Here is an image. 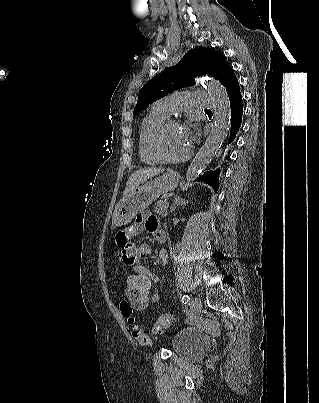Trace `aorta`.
I'll list each match as a JSON object with an SVG mask.
<instances>
[{
    "label": "aorta",
    "instance_id": "1",
    "mask_svg": "<svg viewBox=\"0 0 319 403\" xmlns=\"http://www.w3.org/2000/svg\"><path fill=\"white\" fill-rule=\"evenodd\" d=\"M214 105V124L205 144L196 154L186 172V181H194L202 170L209 164L218 149L227 137L230 126V101L226 89L214 78H208L203 82Z\"/></svg>",
    "mask_w": 319,
    "mask_h": 403
}]
</instances>
